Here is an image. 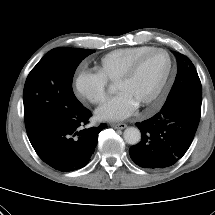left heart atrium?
<instances>
[{
	"mask_svg": "<svg viewBox=\"0 0 215 215\" xmlns=\"http://www.w3.org/2000/svg\"><path fill=\"white\" fill-rule=\"evenodd\" d=\"M137 107L129 95L120 92L96 110V117L104 121H121L131 116Z\"/></svg>",
	"mask_w": 215,
	"mask_h": 215,
	"instance_id": "left-heart-atrium-1",
	"label": "left heart atrium"
}]
</instances>
